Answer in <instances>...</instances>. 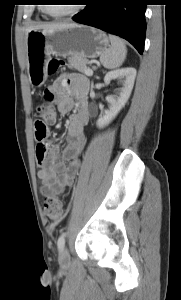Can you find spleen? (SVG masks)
<instances>
[{
  "mask_svg": "<svg viewBox=\"0 0 181 300\" xmlns=\"http://www.w3.org/2000/svg\"><path fill=\"white\" fill-rule=\"evenodd\" d=\"M109 39L111 46L101 54L100 61L106 69H116L123 64L127 49L125 43L119 37L109 35Z\"/></svg>",
  "mask_w": 181,
  "mask_h": 300,
  "instance_id": "1",
  "label": "spleen"
}]
</instances>
